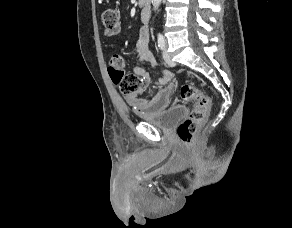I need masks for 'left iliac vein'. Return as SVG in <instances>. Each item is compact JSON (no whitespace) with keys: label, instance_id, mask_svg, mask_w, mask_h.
<instances>
[{"label":"left iliac vein","instance_id":"4c4485c4","mask_svg":"<svg viewBox=\"0 0 292 228\" xmlns=\"http://www.w3.org/2000/svg\"><path fill=\"white\" fill-rule=\"evenodd\" d=\"M163 58L169 66H175V62L171 59L166 49L163 51Z\"/></svg>","mask_w":292,"mask_h":228}]
</instances>
